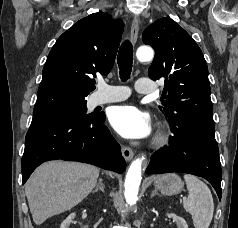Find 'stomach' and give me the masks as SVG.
Instances as JSON below:
<instances>
[{"instance_id": "obj_1", "label": "stomach", "mask_w": 238, "mask_h": 228, "mask_svg": "<svg viewBox=\"0 0 238 228\" xmlns=\"http://www.w3.org/2000/svg\"><path fill=\"white\" fill-rule=\"evenodd\" d=\"M155 188L165 195H176L183 190L184 183L175 173H168L154 177Z\"/></svg>"}]
</instances>
